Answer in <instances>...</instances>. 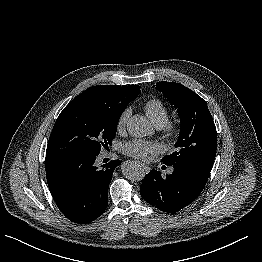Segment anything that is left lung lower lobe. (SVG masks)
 Wrapping results in <instances>:
<instances>
[{
    "mask_svg": "<svg viewBox=\"0 0 262 262\" xmlns=\"http://www.w3.org/2000/svg\"><path fill=\"white\" fill-rule=\"evenodd\" d=\"M209 175L210 170L195 167H174L173 173L166 177L152 170L142 180L140 194L161 211L175 213L199 196Z\"/></svg>",
    "mask_w": 262,
    "mask_h": 262,
    "instance_id": "left-lung-lower-lobe-1",
    "label": "left lung lower lobe"
}]
</instances>
